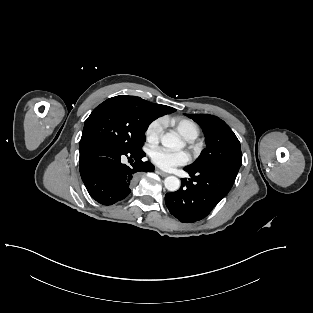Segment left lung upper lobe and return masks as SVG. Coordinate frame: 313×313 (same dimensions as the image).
I'll return each instance as SVG.
<instances>
[{
    "label": "left lung upper lobe",
    "mask_w": 313,
    "mask_h": 313,
    "mask_svg": "<svg viewBox=\"0 0 313 313\" xmlns=\"http://www.w3.org/2000/svg\"><path fill=\"white\" fill-rule=\"evenodd\" d=\"M196 121L206 136L207 148L191 165L190 170L228 168L239 171L242 164L240 142L231 128L221 119L209 114H185Z\"/></svg>",
    "instance_id": "obj_1"
}]
</instances>
